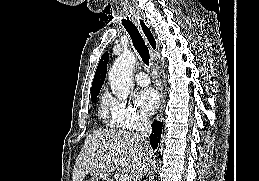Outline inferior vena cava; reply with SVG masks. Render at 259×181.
Returning a JSON list of instances; mask_svg holds the SVG:
<instances>
[{"label": "inferior vena cava", "instance_id": "1", "mask_svg": "<svg viewBox=\"0 0 259 181\" xmlns=\"http://www.w3.org/2000/svg\"><path fill=\"white\" fill-rule=\"evenodd\" d=\"M152 132L151 122L149 118L145 115L139 117V123L137 127L136 136L140 141L144 150H149L150 146L148 143V138ZM144 174H142L143 176Z\"/></svg>", "mask_w": 259, "mask_h": 181}]
</instances>
